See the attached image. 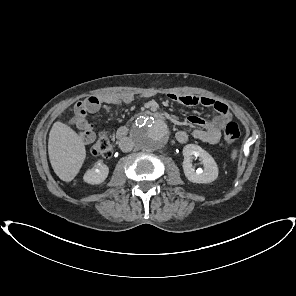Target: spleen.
I'll list each match as a JSON object with an SVG mask.
<instances>
[{
	"mask_svg": "<svg viewBox=\"0 0 296 296\" xmlns=\"http://www.w3.org/2000/svg\"><path fill=\"white\" fill-rule=\"evenodd\" d=\"M236 156H237V150L234 149V150L232 151L231 158H232V159H235Z\"/></svg>",
	"mask_w": 296,
	"mask_h": 296,
	"instance_id": "1",
	"label": "spleen"
}]
</instances>
